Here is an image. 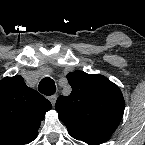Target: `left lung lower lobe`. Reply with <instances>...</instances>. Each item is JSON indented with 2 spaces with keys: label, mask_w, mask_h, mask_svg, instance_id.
Masks as SVG:
<instances>
[{
  "label": "left lung lower lobe",
  "mask_w": 145,
  "mask_h": 145,
  "mask_svg": "<svg viewBox=\"0 0 145 145\" xmlns=\"http://www.w3.org/2000/svg\"><path fill=\"white\" fill-rule=\"evenodd\" d=\"M70 135L77 140L83 141L89 145H98L105 142L114 133L112 129H84L70 128Z\"/></svg>",
  "instance_id": "obj_1"
}]
</instances>
